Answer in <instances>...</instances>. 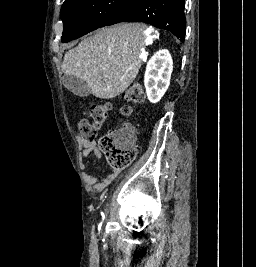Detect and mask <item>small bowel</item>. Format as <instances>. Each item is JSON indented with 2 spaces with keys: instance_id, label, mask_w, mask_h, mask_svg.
<instances>
[{
  "instance_id": "1",
  "label": "small bowel",
  "mask_w": 256,
  "mask_h": 267,
  "mask_svg": "<svg viewBox=\"0 0 256 267\" xmlns=\"http://www.w3.org/2000/svg\"><path fill=\"white\" fill-rule=\"evenodd\" d=\"M79 144L82 147V160L87 158L91 153L94 154L96 159L101 160V147L95 140L79 137ZM117 175L118 171L116 169H112L109 174L102 178H97L92 174L86 173L84 174V180L88 187L93 188L97 192H101L112 183V181L117 177Z\"/></svg>"
}]
</instances>
